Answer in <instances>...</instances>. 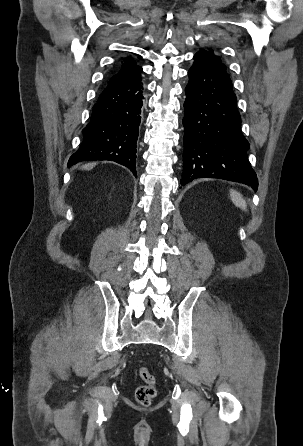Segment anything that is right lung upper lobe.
<instances>
[{
	"mask_svg": "<svg viewBox=\"0 0 303 446\" xmlns=\"http://www.w3.org/2000/svg\"><path fill=\"white\" fill-rule=\"evenodd\" d=\"M141 71L142 69L139 66H137L134 61H132L130 58H127L121 62L120 68L111 77L109 84L119 83L122 81L133 79L139 76Z\"/></svg>",
	"mask_w": 303,
	"mask_h": 446,
	"instance_id": "right-lung-upper-lobe-1",
	"label": "right lung upper lobe"
}]
</instances>
